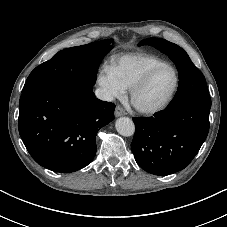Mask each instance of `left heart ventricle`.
<instances>
[{"label":"left heart ventricle","mask_w":227,"mask_h":227,"mask_svg":"<svg viewBox=\"0 0 227 227\" xmlns=\"http://www.w3.org/2000/svg\"><path fill=\"white\" fill-rule=\"evenodd\" d=\"M175 86V73L165 68L153 76L149 83L137 94L135 102L143 108H152L162 104Z\"/></svg>","instance_id":"1"}]
</instances>
